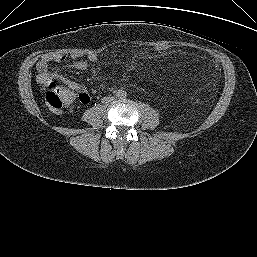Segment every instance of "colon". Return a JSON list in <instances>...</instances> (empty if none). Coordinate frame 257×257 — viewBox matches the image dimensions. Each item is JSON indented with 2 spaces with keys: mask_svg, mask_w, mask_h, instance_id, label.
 <instances>
[{
  "mask_svg": "<svg viewBox=\"0 0 257 257\" xmlns=\"http://www.w3.org/2000/svg\"><path fill=\"white\" fill-rule=\"evenodd\" d=\"M158 53L164 54L169 51V46L166 44H159L155 47ZM45 101L48 107L54 112H68L73 109L77 102L84 103L86 98L83 95L76 94L69 89L59 86L52 81L47 84Z\"/></svg>",
  "mask_w": 257,
  "mask_h": 257,
  "instance_id": "obj_1",
  "label": "colon"
}]
</instances>
